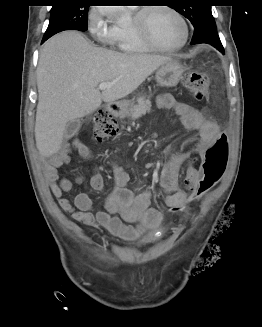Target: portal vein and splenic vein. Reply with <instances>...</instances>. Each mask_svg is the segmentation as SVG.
Returning a JSON list of instances; mask_svg holds the SVG:
<instances>
[{"label":"portal vein and splenic vein","mask_w":262,"mask_h":327,"mask_svg":"<svg viewBox=\"0 0 262 327\" xmlns=\"http://www.w3.org/2000/svg\"><path fill=\"white\" fill-rule=\"evenodd\" d=\"M112 85H113V83H100V84L98 85V88H99L100 90H105V89H107V88H110Z\"/></svg>","instance_id":"1"}]
</instances>
